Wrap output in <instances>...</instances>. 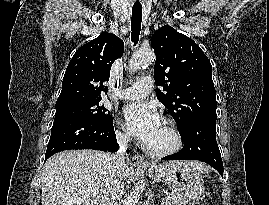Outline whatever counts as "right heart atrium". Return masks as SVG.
I'll return each mask as SVG.
<instances>
[{
    "mask_svg": "<svg viewBox=\"0 0 269 205\" xmlns=\"http://www.w3.org/2000/svg\"><path fill=\"white\" fill-rule=\"evenodd\" d=\"M115 135L120 142H127L129 140L128 135L120 129L115 130Z\"/></svg>",
    "mask_w": 269,
    "mask_h": 205,
    "instance_id": "1",
    "label": "right heart atrium"
}]
</instances>
